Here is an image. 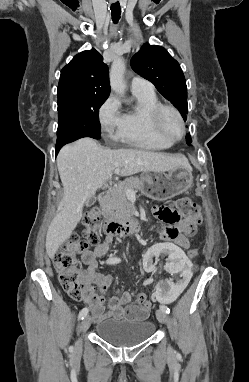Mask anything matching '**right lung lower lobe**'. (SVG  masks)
<instances>
[{
    "label": "right lung lower lobe",
    "mask_w": 249,
    "mask_h": 382,
    "mask_svg": "<svg viewBox=\"0 0 249 382\" xmlns=\"http://www.w3.org/2000/svg\"><path fill=\"white\" fill-rule=\"evenodd\" d=\"M64 145H57L56 146V155L58 154L59 150L62 148Z\"/></svg>",
    "instance_id": "98d812e1"
}]
</instances>
